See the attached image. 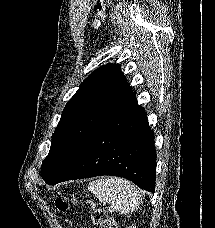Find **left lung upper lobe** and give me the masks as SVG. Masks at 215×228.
Here are the masks:
<instances>
[{
	"label": "left lung upper lobe",
	"instance_id": "1",
	"mask_svg": "<svg viewBox=\"0 0 215 228\" xmlns=\"http://www.w3.org/2000/svg\"><path fill=\"white\" fill-rule=\"evenodd\" d=\"M134 92L117 64L96 69L66 104L42 163L46 181L57 177L88 139Z\"/></svg>",
	"mask_w": 215,
	"mask_h": 228
}]
</instances>
